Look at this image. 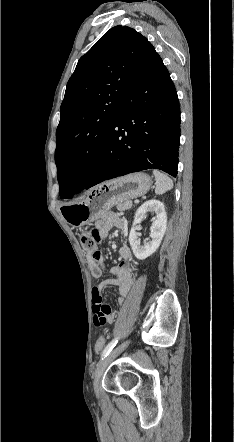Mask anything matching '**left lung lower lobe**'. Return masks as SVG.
<instances>
[{
	"mask_svg": "<svg viewBox=\"0 0 234 442\" xmlns=\"http://www.w3.org/2000/svg\"><path fill=\"white\" fill-rule=\"evenodd\" d=\"M179 144V100L167 68L154 51L124 95L99 160L82 190L151 168L176 177Z\"/></svg>",
	"mask_w": 234,
	"mask_h": 442,
	"instance_id": "obj_1",
	"label": "left lung lower lobe"
}]
</instances>
